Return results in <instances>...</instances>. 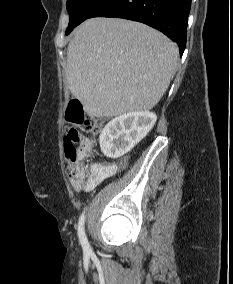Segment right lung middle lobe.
<instances>
[{
	"mask_svg": "<svg viewBox=\"0 0 233 284\" xmlns=\"http://www.w3.org/2000/svg\"><path fill=\"white\" fill-rule=\"evenodd\" d=\"M108 0H67V11L70 16L69 25L66 35L69 34L74 27L79 25L102 4Z\"/></svg>",
	"mask_w": 233,
	"mask_h": 284,
	"instance_id": "right-lung-middle-lobe-1",
	"label": "right lung middle lobe"
}]
</instances>
